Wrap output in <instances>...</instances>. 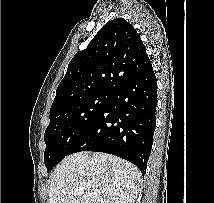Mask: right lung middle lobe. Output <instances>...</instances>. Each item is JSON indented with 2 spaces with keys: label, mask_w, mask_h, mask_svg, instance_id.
<instances>
[{
  "label": "right lung middle lobe",
  "mask_w": 214,
  "mask_h": 203,
  "mask_svg": "<svg viewBox=\"0 0 214 203\" xmlns=\"http://www.w3.org/2000/svg\"><path fill=\"white\" fill-rule=\"evenodd\" d=\"M108 96V93L90 94L50 111V123L44 135L47 172L70 154L105 107Z\"/></svg>",
  "instance_id": "1"
}]
</instances>
